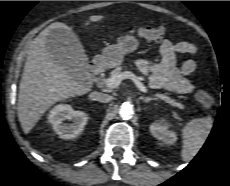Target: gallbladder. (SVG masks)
Segmentation results:
<instances>
[{
    "mask_svg": "<svg viewBox=\"0 0 230 186\" xmlns=\"http://www.w3.org/2000/svg\"><path fill=\"white\" fill-rule=\"evenodd\" d=\"M46 49L51 57L80 83L88 74V61L77 36L68 30L56 28L46 37Z\"/></svg>",
    "mask_w": 230,
    "mask_h": 186,
    "instance_id": "gallbladder-1",
    "label": "gallbladder"
}]
</instances>
